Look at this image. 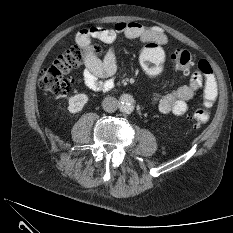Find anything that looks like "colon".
<instances>
[{
	"label": "colon",
	"mask_w": 233,
	"mask_h": 233,
	"mask_svg": "<svg viewBox=\"0 0 233 233\" xmlns=\"http://www.w3.org/2000/svg\"><path fill=\"white\" fill-rule=\"evenodd\" d=\"M93 52L98 54L99 47L91 45L89 48L73 46L58 55L53 62L45 67L39 77L40 88L49 94L62 96L69 92L74 80L69 77V73L79 67L87 54ZM174 64L183 71H187L192 66V56L184 49L176 50L172 55ZM165 61V53L158 43L148 41L144 44L140 55V64L144 72L149 76H156L161 73ZM199 71L205 82L204 107L198 108L190 116V121L195 127H200L208 122V107L212 106L217 97V85L213 70L208 61L202 59L197 63Z\"/></svg>",
	"instance_id": "obj_1"
}]
</instances>
